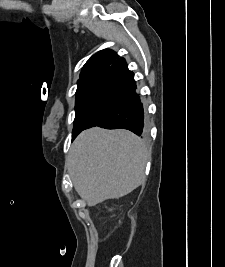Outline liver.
Returning a JSON list of instances; mask_svg holds the SVG:
<instances>
[{
	"label": "liver",
	"instance_id": "liver-1",
	"mask_svg": "<svg viewBox=\"0 0 225 267\" xmlns=\"http://www.w3.org/2000/svg\"><path fill=\"white\" fill-rule=\"evenodd\" d=\"M149 157L145 143L132 132L91 128L73 142L68 171L79 196L93 207L140 186Z\"/></svg>",
	"mask_w": 225,
	"mask_h": 267
}]
</instances>
